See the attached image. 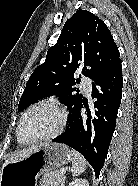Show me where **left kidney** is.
Segmentation results:
<instances>
[{"label": "left kidney", "instance_id": "left-kidney-1", "mask_svg": "<svg viewBox=\"0 0 138 186\" xmlns=\"http://www.w3.org/2000/svg\"><path fill=\"white\" fill-rule=\"evenodd\" d=\"M69 186H89V183L86 179H75Z\"/></svg>", "mask_w": 138, "mask_h": 186}]
</instances>
